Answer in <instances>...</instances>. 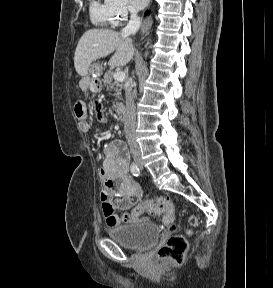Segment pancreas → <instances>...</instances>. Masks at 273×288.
Returning <instances> with one entry per match:
<instances>
[{
  "label": "pancreas",
  "instance_id": "1",
  "mask_svg": "<svg viewBox=\"0 0 273 288\" xmlns=\"http://www.w3.org/2000/svg\"><path fill=\"white\" fill-rule=\"evenodd\" d=\"M103 84L106 87L107 90L110 92H114L113 96H115L117 99H121V90H122V84L117 81H113V72L107 71L103 76ZM119 106V103L116 101L113 103V109H117Z\"/></svg>",
  "mask_w": 273,
  "mask_h": 288
}]
</instances>
